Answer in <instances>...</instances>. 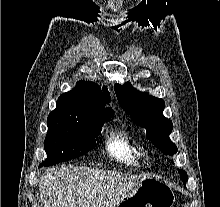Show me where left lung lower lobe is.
<instances>
[{
  "label": "left lung lower lobe",
  "instance_id": "left-lung-lower-lobe-1",
  "mask_svg": "<svg viewBox=\"0 0 220 207\" xmlns=\"http://www.w3.org/2000/svg\"><path fill=\"white\" fill-rule=\"evenodd\" d=\"M179 173L181 174V176L183 177L182 180H183V184L186 185V181H187V173L182 170V169H178Z\"/></svg>",
  "mask_w": 220,
  "mask_h": 207
}]
</instances>
